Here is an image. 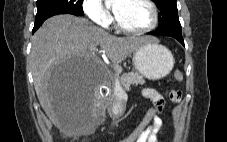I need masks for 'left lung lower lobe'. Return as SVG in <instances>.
<instances>
[{"instance_id":"left-lung-lower-lobe-1","label":"left lung lower lobe","mask_w":227,"mask_h":142,"mask_svg":"<svg viewBox=\"0 0 227 142\" xmlns=\"http://www.w3.org/2000/svg\"><path fill=\"white\" fill-rule=\"evenodd\" d=\"M148 34L161 35V36H171V37H174L175 39H177L182 45H184L182 33H179V32H174V31H169V30H164V31L156 30L154 32H149Z\"/></svg>"}]
</instances>
